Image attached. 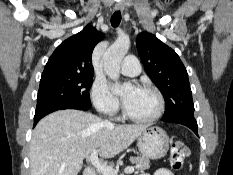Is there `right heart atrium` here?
Returning a JSON list of instances; mask_svg holds the SVG:
<instances>
[{"label":"right heart atrium","instance_id":"obj_1","mask_svg":"<svg viewBox=\"0 0 233 175\" xmlns=\"http://www.w3.org/2000/svg\"><path fill=\"white\" fill-rule=\"evenodd\" d=\"M90 99L101 113L114 116L120 108V100L102 79H95L90 88Z\"/></svg>","mask_w":233,"mask_h":175}]
</instances>
